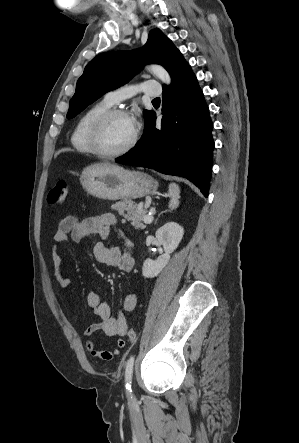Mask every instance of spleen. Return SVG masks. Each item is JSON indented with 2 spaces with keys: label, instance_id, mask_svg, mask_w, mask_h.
I'll return each mask as SVG.
<instances>
[{
  "label": "spleen",
  "instance_id": "1",
  "mask_svg": "<svg viewBox=\"0 0 299 443\" xmlns=\"http://www.w3.org/2000/svg\"><path fill=\"white\" fill-rule=\"evenodd\" d=\"M168 196L170 197L169 208L175 209L179 205L180 188L177 184L171 183L169 185Z\"/></svg>",
  "mask_w": 299,
  "mask_h": 443
}]
</instances>
